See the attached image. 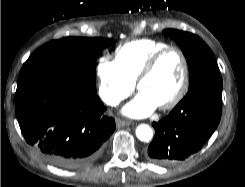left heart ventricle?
<instances>
[{
  "instance_id": "obj_1",
  "label": "left heart ventricle",
  "mask_w": 245,
  "mask_h": 187,
  "mask_svg": "<svg viewBox=\"0 0 245 187\" xmlns=\"http://www.w3.org/2000/svg\"><path fill=\"white\" fill-rule=\"evenodd\" d=\"M183 67L176 52H168L156 65L152 74L145 79L139 91L146 93L157 106L167 102L178 90Z\"/></svg>"
}]
</instances>
